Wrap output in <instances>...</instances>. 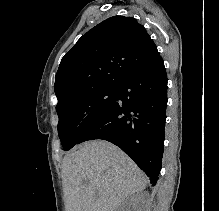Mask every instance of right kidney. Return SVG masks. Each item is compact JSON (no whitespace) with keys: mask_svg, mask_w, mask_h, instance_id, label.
<instances>
[{"mask_svg":"<svg viewBox=\"0 0 219 211\" xmlns=\"http://www.w3.org/2000/svg\"><path fill=\"white\" fill-rule=\"evenodd\" d=\"M140 201H143L142 195H130L129 199H127L126 203H124V207H126V205H131V207H136V203H140Z\"/></svg>","mask_w":219,"mask_h":211,"instance_id":"ca27d5eb","label":"right kidney"}]
</instances>
